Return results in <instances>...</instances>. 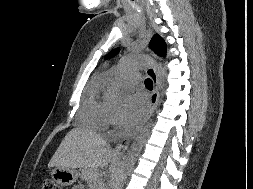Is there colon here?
I'll use <instances>...</instances> for the list:
<instances>
[{"mask_svg": "<svg viewBox=\"0 0 253 189\" xmlns=\"http://www.w3.org/2000/svg\"><path fill=\"white\" fill-rule=\"evenodd\" d=\"M42 189H61L60 186L51 179H45Z\"/></svg>", "mask_w": 253, "mask_h": 189, "instance_id": "1", "label": "colon"}]
</instances>
